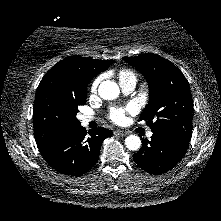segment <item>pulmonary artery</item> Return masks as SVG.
<instances>
[{
	"label": "pulmonary artery",
	"mask_w": 221,
	"mask_h": 221,
	"mask_svg": "<svg viewBox=\"0 0 221 221\" xmlns=\"http://www.w3.org/2000/svg\"><path fill=\"white\" fill-rule=\"evenodd\" d=\"M120 87L122 89V92L124 94H130L134 91L136 87V80L135 79H126L123 81H120ZM95 118L91 115H85L82 116L81 121L84 125H87L89 122L93 121ZM153 135L152 131L147 132V136L151 137Z\"/></svg>",
	"instance_id": "e3ab8cb5"
}]
</instances>
